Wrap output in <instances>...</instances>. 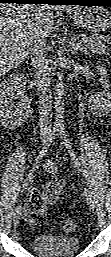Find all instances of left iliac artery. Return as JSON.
I'll list each match as a JSON object with an SVG mask.
<instances>
[{
  "label": "left iliac artery",
  "instance_id": "obj_1",
  "mask_svg": "<svg viewBox=\"0 0 111 257\" xmlns=\"http://www.w3.org/2000/svg\"><path fill=\"white\" fill-rule=\"evenodd\" d=\"M59 134H60V137L65 145V147L68 149V152L71 156V159L72 161L74 162L75 166L77 167L78 171L79 172H82L81 168H80V163L78 161V158L76 157L75 153H74V150L72 149V146H71V143L67 137V134L65 132V130L63 128H61L59 130Z\"/></svg>",
  "mask_w": 111,
  "mask_h": 257
}]
</instances>
